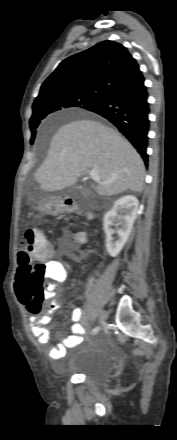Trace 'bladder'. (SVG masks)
Returning <instances> with one entry per match:
<instances>
[{
  "label": "bladder",
  "instance_id": "bladder-1",
  "mask_svg": "<svg viewBox=\"0 0 177 440\" xmlns=\"http://www.w3.org/2000/svg\"><path fill=\"white\" fill-rule=\"evenodd\" d=\"M69 373L83 376L96 386H103L113 372L112 360L97 351L86 349L80 357L67 368Z\"/></svg>",
  "mask_w": 177,
  "mask_h": 440
}]
</instances>
